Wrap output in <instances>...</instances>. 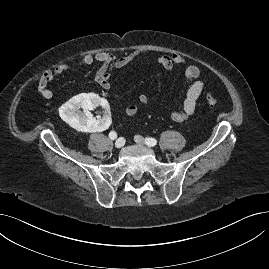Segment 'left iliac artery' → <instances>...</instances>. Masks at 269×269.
Listing matches in <instances>:
<instances>
[{
	"label": "left iliac artery",
	"instance_id": "44dca946",
	"mask_svg": "<svg viewBox=\"0 0 269 269\" xmlns=\"http://www.w3.org/2000/svg\"><path fill=\"white\" fill-rule=\"evenodd\" d=\"M145 143L148 145V146H155L157 141L156 139L154 138H146L145 139Z\"/></svg>",
	"mask_w": 269,
	"mask_h": 269
}]
</instances>
